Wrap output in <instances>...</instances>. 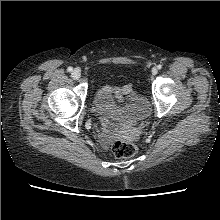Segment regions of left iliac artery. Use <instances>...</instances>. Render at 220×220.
Segmentation results:
<instances>
[{"label":"left iliac artery","instance_id":"44dca946","mask_svg":"<svg viewBox=\"0 0 220 220\" xmlns=\"http://www.w3.org/2000/svg\"><path fill=\"white\" fill-rule=\"evenodd\" d=\"M157 67H158V69H161L162 68V64H159Z\"/></svg>","mask_w":220,"mask_h":220}]
</instances>
